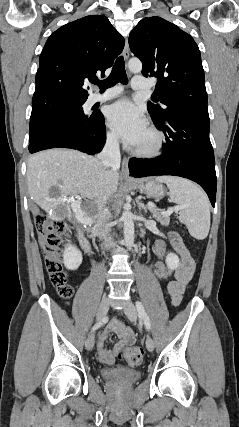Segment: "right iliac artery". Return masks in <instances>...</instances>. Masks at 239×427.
<instances>
[{
    "label": "right iliac artery",
    "mask_w": 239,
    "mask_h": 427,
    "mask_svg": "<svg viewBox=\"0 0 239 427\" xmlns=\"http://www.w3.org/2000/svg\"><path fill=\"white\" fill-rule=\"evenodd\" d=\"M108 321L107 317H104L99 323L95 324L94 327L92 328V330H96L98 329L101 325H103L104 323H106Z\"/></svg>",
    "instance_id": "obj_1"
}]
</instances>
